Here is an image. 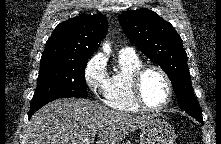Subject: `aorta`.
<instances>
[{"instance_id": "aorta-1", "label": "aorta", "mask_w": 221, "mask_h": 144, "mask_svg": "<svg viewBox=\"0 0 221 144\" xmlns=\"http://www.w3.org/2000/svg\"><path fill=\"white\" fill-rule=\"evenodd\" d=\"M103 50L106 53H109L111 51L110 45L108 43H103Z\"/></svg>"}]
</instances>
